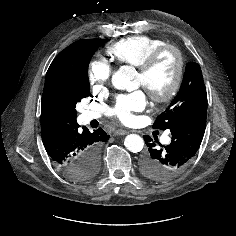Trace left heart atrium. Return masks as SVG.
<instances>
[{
    "mask_svg": "<svg viewBox=\"0 0 236 236\" xmlns=\"http://www.w3.org/2000/svg\"><path fill=\"white\" fill-rule=\"evenodd\" d=\"M146 105L147 98L142 91L120 95L112 109V114L122 122H129L133 118V113L143 110Z\"/></svg>",
    "mask_w": 236,
    "mask_h": 236,
    "instance_id": "1",
    "label": "left heart atrium"
}]
</instances>
